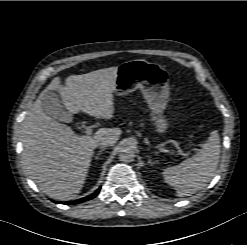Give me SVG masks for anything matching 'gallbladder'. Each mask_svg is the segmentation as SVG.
I'll return each mask as SVG.
<instances>
[{"mask_svg":"<svg viewBox=\"0 0 247 245\" xmlns=\"http://www.w3.org/2000/svg\"><path fill=\"white\" fill-rule=\"evenodd\" d=\"M41 104L43 111L51 118L63 122L71 119L70 114L65 110L62 101L54 91L45 92L41 99Z\"/></svg>","mask_w":247,"mask_h":245,"instance_id":"obj_1","label":"gallbladder"}]
</instances>
